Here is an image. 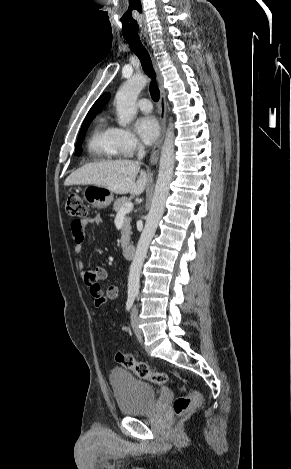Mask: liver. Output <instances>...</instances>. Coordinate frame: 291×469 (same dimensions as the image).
Here are the masks:
<instances>
[{
    "label": "liver",
    "instance_id": "1",
    "mask_svg": "<svg viewBox=\"0 0 291 469\" xmlns=\"http://www.w3.org/2000/svg\"><path fill=\"white\" fill-rule=\"evenodd\" d=\"M139 175L136 180L137 175ZM148 175L140 170V163L132 160H115L89 163L70 174L64 184L96 185L116 194L140 195L146 188Z\"/></svg>",
    "mask_w": 291,
    "mask_h": 469
}]
</instances>
